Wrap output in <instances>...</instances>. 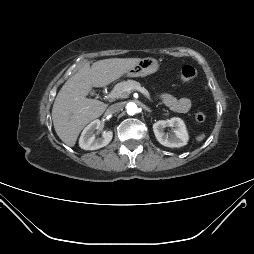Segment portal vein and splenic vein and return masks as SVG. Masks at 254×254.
I'll use <instances>...</instances> for the list:
<instances>
[{"label": "portal vein and splenic vein", "instance_id": "obj_1", "mask_svg": "<svg viewBox=\"0 0 254 254\" xmlns=\"http://www.w3.org/2000/svg\"><path fill=\"white\" fill-rule=\"evenodd\" d=\"M137 91H140L142 94H144L148 99H150V94L149 92L143 88V87H137L136 88Z\"/></svg>", "mask_w": 254, "mask_h": 254}]
</instances>
